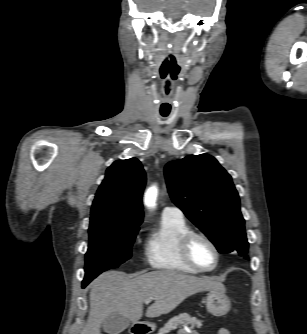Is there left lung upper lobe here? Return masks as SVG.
I'll list each match as a JSON object with an SVG mask.
<instances>
[{
    "label": "left lung upper lobe",
    "mask_w": 307,
    "mask_h": 334,
    "mask_svg": "<svg viewBox=\"0 0 307 334\" xmlns=\"http://www.w3.org/2000/svg\"><path fill=\"white\" fill-rule=\"evenodd\" d=\"M165 177L172 201L220 253L248 250L240 200L231 176L210 155L169 162Z\"/></svg>",
    "instance_id": "1"
}]
</instances>
